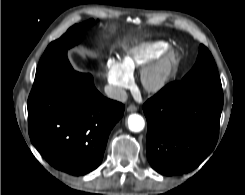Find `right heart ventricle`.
I'll use <instances>...</instances> for the list:
<instances>
[{
	"mask_svg": "<svg viewBox=\"0 0 245 195\" xmlns=\"http://www.w3.org/2000/svg\"><path fill=\"white\" fill-rule=\"evenodd\" d=\"M169 48V44L164 41L143 44L139 47L129 50L119 61L122 69L130 76L133 72L158 58Z\"/></svg>",
	"mask_w": 245,
	"mask_h": 195,
	"instance_id": "e07e8e85",
	"label": "right heart ventricle"
}]
</instances>
